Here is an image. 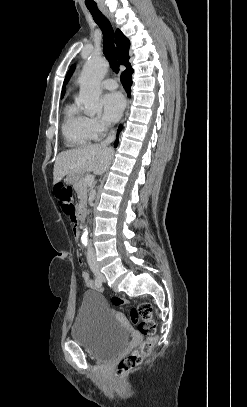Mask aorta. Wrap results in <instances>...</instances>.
<instances>
[{"mask_svg": "<svg viewBox=\"0 0 247 407\" xmlns=\"http://www.w3.org/2000/svg\"><path fill=\"white\" fill-rule=\"evenodd\" d=\"M108 62L99 56L91 57L83 67L79 77L80 91L78 102L83 105L84 112L87 115L93 116L102 111V106L99 102L101 89L100 83L108 71ZM87 225L83 229L81 241L83 246H87L88 239Z\"/></svg>", "mask_w": 247, "mask_h": 407, "instance_id": "aorta-1", "label": "aorta"}]
</instances>
